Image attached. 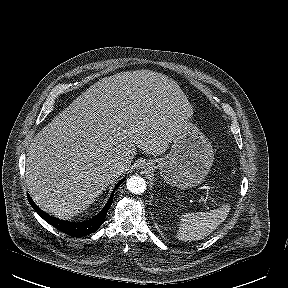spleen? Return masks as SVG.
Instances as JSON below:
<instances>
[{
    "label": "spleen",
    "mask_w": 288,
    "mask_h": 288,
    "mask_svg": "<svg viewBox=\"0 0 288 288\" xmlns=\"http://www.w3.org/2000/svg\"><path fill=\"white\" fill-rule=\"evenodd\" d=\"M229 210L230 207L228 205H223L208 212L182 215L177 238L185 242L204 239L226 219Z\"/></svg>",
    "instance_id": "1"
}]
</instances>
